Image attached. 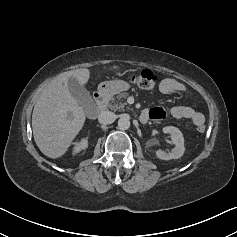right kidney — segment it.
I'll return each mask as SVG.
<instances>
[{
  "label": "right kidney",
  "mask_w": 237,
  "mask_h": 237,
  "mask_svg": "<svg viewBox=\"0 0 237 237\" xmlns=\"http://www.w3.org/2000/svg\"><path fill=\"white\" fill-rule=\"evenodd\" d=\"M88 147L87 138L83 139L81 142H75L73 147V155L77 154L82 149H86Z\"/></svg>",
  "instance_id": "ca27d5eb"
}]
</instances>
